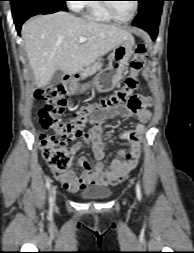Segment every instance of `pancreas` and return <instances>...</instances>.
<instances>
[{"mask_svg": "<svg viewBox=\"0 0 194 253\" xmlns=\"http://www.w3.org/2000/svg\"><path fill=\"white\" fill-rule=\"evenodd\" d=\"M100 67V62H96L93 65L88 66L86 69L83 70L81 74V79H85L86 77L93 75Z\"/></svg>", "mask_w": 194, "mask_h": 253, "instance_id": "obj_1", "label": "pancreas"}]
</instances>
